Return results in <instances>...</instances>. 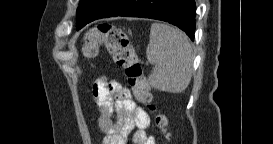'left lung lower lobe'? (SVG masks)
<instances>
[{
	"mask_svg": "<svg viewBox=\"0 0 273 144\" xmlns=\"http://www.w3.org/2000/svg\"><path fill=\"white\" fill-rule=\"evenodd\" d=\"M195 11L194 0H95L77 11V30L105 17H143L176 25L194 40Z\"/></svg>",
	"mask_w": 273,
	"mask_h": 144,
	"instance_id": "0a47b994",
	"label": "left lung lower lobe"
}]
</instances>
